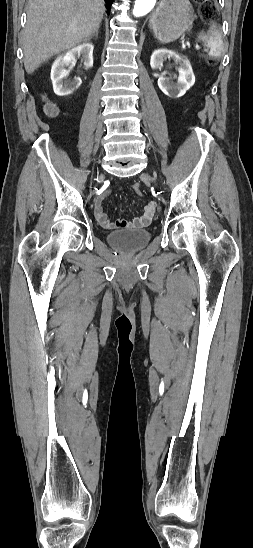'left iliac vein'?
I'll list each match as a JSON object with an SVG mask.
<instances>
[{
	"label": "left iliac vein",
	"instance_id": "left-iliac-vein-1",
	"mask_svg": "<svg viewBox=\"0 0 253 548\" xmlns=\"http://www.w3.org/2000/svg\"><path fill=\"white\" fill-rule=\"evenodd\" d=\"M142 178L147 179V180H149V181H151V182H155V178L152 177V176H150V175H148V174H143V175H142Z\"/></svg>",
	"mask_w": 253,
	"mask_h": 548
}]
</instances>
